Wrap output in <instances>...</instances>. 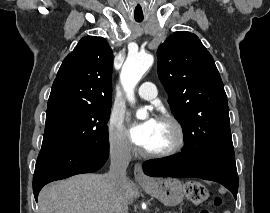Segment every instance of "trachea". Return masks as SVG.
Segmentation results:
<instances>
[{"instance_id": "3493384b", "label": "trachea", "mask_w": 270, "mask_h": 213, "mask_svg": "<svg viewBox=\"0 0 270 213\" xmlns=\"http://www.w3.org/2000/svg\"><path fill=\"white\" fill-rule=\"evenodd\" d=\"M137 22H141L142 20H136Z\"/></svg>"}]
</instances>
